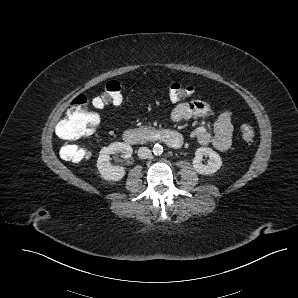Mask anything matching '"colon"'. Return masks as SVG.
Returning <instances> with one entry per match:
<instances>
[{
  "label": "colon",
  "mask_w": 298,
  "mask_h": 298,
  "mask_svg": "<svg viewBox=\"0 0 298 298\" xmlns=\"http://www.w3.org/2000/svg\"><path fill=\"white\" fill-rule=\"evenodd\" d=\"M122 88L119 81L111 80L105 85L103 92L92 101L85 95L75 97L65 116L57 125L58 137L65 141H72L92 134L99 122V118L92 108L101 109L107 104L119 105L123 99ZM193 92L192 86L179 82L171 83L168 89L169 98L172 102L186 99ZM239 133L245 142H253L254 128L250 123H241ZM82 154L86 156L87 153L83 151Z\"/></svg>",
  "instance_id": "5ec220e1"
}]
</instances>
